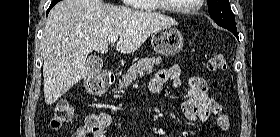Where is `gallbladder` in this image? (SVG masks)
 <instances>
[{"label":"gallbladder","instance_id":"obj_1","mask_svg":"<svg viewBox=\"0 0 280 137\" xmlns=\"http://www.w3.org/2000/svg\"><path fill=\"white\" fill-rule=\"evenodd\" d=\"M87 64L93 72H99L103 67V61L101 58L91 56L87 59Z\"/></svg>","mask_w":280,"mask_h":137}]
</instances>
